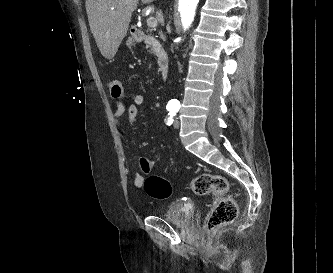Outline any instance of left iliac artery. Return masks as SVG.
Segmentation results:
<instances>
[{
    "mask_svg": "<svg viewBox=\"0 0 333 273\" xmlns=\"http://www.w3.org/2000/svg\"><path fill=\"white\" fill-rule=\"evenodd\" d=\"M176 112H177V111H175V110H171V111L168 113L169 117H168L167 120H166V124H167V125L170 126V125L173 123V117L176 115Z\"/></svg>",
    "mask_w": 333,
    "mask_h": 273,
    "instance_id": "left-iliac-artery-1",
    "label": "left iliac artery"
}]
</instances>
